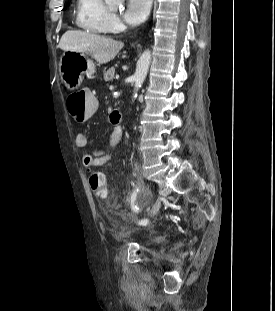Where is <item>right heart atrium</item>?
Returning a JSON list of instances; mask_svg holds the SVG:
<instances>
[{"mask_svg":"<svg viewBox=\"0 0 275 311\" xmlns=\"http://www.w3.org/2000/svg\"><path fill=\"white\" fill-rule=\"evenodd\" d=\"M121 28V22L117 15L111 14L109 18V29L112 31L119 30Z\"/></svg>","mask_w":275,"mask_h":311,"instance_id":"1","label":"right heart atrium"}]
</instances>
